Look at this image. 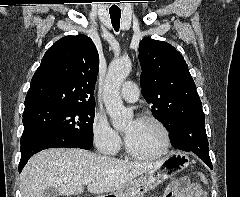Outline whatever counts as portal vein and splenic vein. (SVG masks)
Listing matches in <instances>:
<instances>
[{"label":"portal vein and splenic vein","instance_id":"obj_1","mask_svg":"<svg viewBox=\"0 0 240 197\" xmlns=\"http://www.w3.org/2000/svg\"><path fill=\"white\" fill-rule=\"evenodd\" d=\"M83 182H84V184H88V183H91V182H92V179H86V180H84Z\"/></svg>","mask_w":240,"mask_h":197}]
</instances>
